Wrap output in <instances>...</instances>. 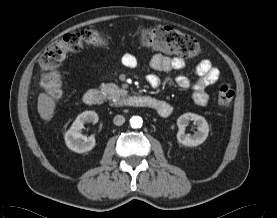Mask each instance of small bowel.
<instances>
[{"instance_id":"1","label":"small bowel","mask_w":277,"mask_h":218,"mask_svg":"<svg viewBox=\"0 0 277 218\" xmlns=\"http://www.w3.org/2000/svg\"><path fill=\"white\" fill-rule=\"evenodd\" d=\"M122 64L128 68H134L137 65V58L130 53H126L121 58ZM150 66L158 71L181 70L185 67V60L179 56L170 57L162 54H155L150 61ZM198 79L191 82L185 75L176 77V84L181 89H190L192 98L199 106H206L209 101L207 89L209 86L216 83L220 78V71L214 67L210 60L203 59L196 66ZM147 83L156 88L160 85L161 80L155 74L147 76ZM171 111L170 105L167 102H162V106L158 109L159 114L166 115Z\"/></svg>"}]
</instances>
